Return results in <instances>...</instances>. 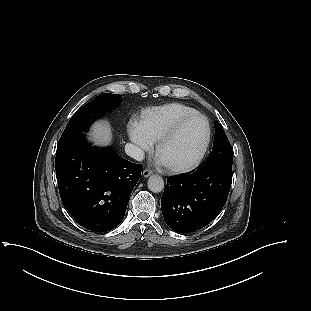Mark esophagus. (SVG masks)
<instances>
[{"label": "esophagus", "mask_w": 311, "mask_h": 311, "mask_svg": "<svg viewBox=\"0 0 311 311\" xmlns=\"http://www.w3.org/2000/svg\"><path fill=\"white\" fill-rule=\"evenodd\" d=\"M151 174H152V171L150 169H144L143 177H149Z\"/></svg>", "instance_id": "34e87169"}]
</instances>
